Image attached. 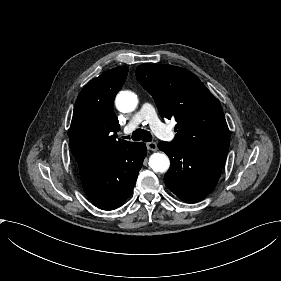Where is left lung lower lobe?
<instances>
[{"mask_svg": "<svg viewBox=\"0 0 281 281\" xmlns=\"http://www.w3.org/2000/svg\"><path fill=\"white\" fill-rule=\"evenodd\" d=\"M158 147L170 158L171 167L164 181L178 198L196 203L214 189L227 153L191 152L169 142H160Z\"/></svg>", "mask_w": 281, "mask_h": 281, "instance_id": "1", "label": "left lung lower lobe"}]
</instances>
